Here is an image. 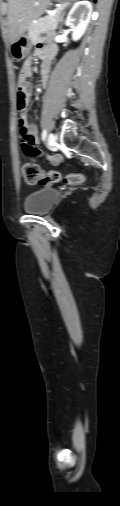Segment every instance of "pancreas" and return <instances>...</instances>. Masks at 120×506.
Instances as JSON below:
<instances>
[{
	"instance_id": "cf45deb5",
	"label": "pancreas",
	"mask_w": 120,
	"mask_h": 506,
	"mask_svg": "<svg viewBox=\"0 0 120 506\" xmlns=\"http://www.w3.org/2000/svg\"><path fill=\"white\" fill-rule=\"evenodd\" d=\"M59 13L60 12L58 11L51 18L49 16H46L44 18L38 19V21L36 23H31L29 25L28 34H29V37L32 40V42H35L37 37L41 33L52 32L55 30V28L57 26V19H58Z\"/></svg>"
}]
</instances>
